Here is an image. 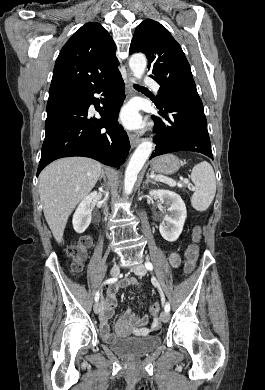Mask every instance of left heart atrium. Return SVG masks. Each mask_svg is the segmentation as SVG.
I'll use <instances>...</instances> for the list:
<instances>
[{
    "label": "left heart atrium",
    "mask_w": 265,
    "mask_h": 390,
    "mask_svg": "<svg viewBox=\"0 0 265 390\" xmlns=\"http://www.w3.org/2000/svg\"><path fill=\"white\" fill-rule=\"evenodd\" d=\"M122 122L130 128L140 127L142 124L137 108L133 105L127 106L121 113Z\"/></svg>",
    "instance_id": "39dd6f15"
}]
</instances>
